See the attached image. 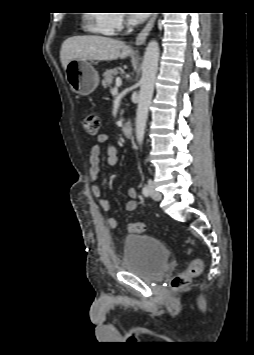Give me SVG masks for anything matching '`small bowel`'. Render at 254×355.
Masks as SVG:
<instances>
[{"label": "small bowel", "mask_w": 254, "mask_h": 355, "mask_svg": "<svg viewBox=\"0 0 254 355\" xmlns=\"http://www.w3.org/2000/svg\"><path fill=\"white\" fill-rule=\"evenodd\" d=\"M103 146H105L106 152V162L109 166H114L117 163V149L111 143L110 138L107 134L101 133L96 138V143L91 147L89 156V177L92 182L98 179L100 172V157L102 154ZM91 193L94 197L100 199V205L103 210L108 211L110 204L107 199L102 197V191L99 185L93 184L91 186ZM137 190L134 187L128 189L129 200L125 203V209L129 212L134 211L137 208ZM108 226L110 229H117L119 226L118 220L116 218H109Z\"/></svg>", "instance_id": "1"}]
</instances>
